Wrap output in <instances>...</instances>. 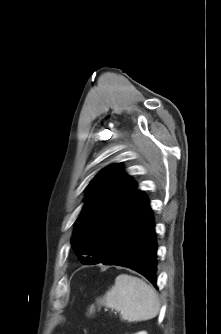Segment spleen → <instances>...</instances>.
<instances>
[{
    "mask_svg": "<svg viewBox=\"0 0 221 334\" xmlns=\"http://www.w3.org/2000/svg\"><path fill=\"white\" fill-rule=\"evenodd\" d=\"M97 302L120 312L121 319L128 322L146 321L156 317L160 303L153 287L142 279L120 274L115 284ZM93 307L90 308V313Z\"/></svg>",
    "mask_w": 221,
    "mask_h": 334,
    "instance_id": "3e777b00",
    "label": "spleen"
}]
</instances>
